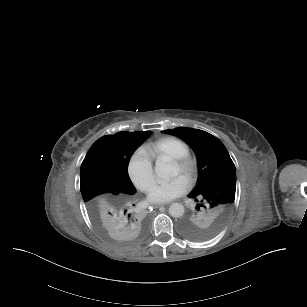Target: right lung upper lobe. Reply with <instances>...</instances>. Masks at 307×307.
<instances>
[{"instance_id": "cb5924a9", "label": "right lung upper lobe", "mask_w": 307, "mask_h": 307, "mask_svg": "<svg viewBox=\"0 0 307 307\" xmlns=\"http://www.w3.org/2000/svg\"><path fill=\"white\" fill-rule=\"evenodd\" d=\"M151 131L118 132L97 140L88 155L95 156L113 169L117 184L111 190L84 200L94 221L104 230L140 234L148 224V213L135 195L128 175V163L135 149Z\"/></svg>"}]
</instances>
